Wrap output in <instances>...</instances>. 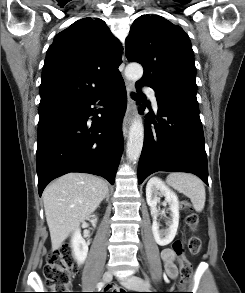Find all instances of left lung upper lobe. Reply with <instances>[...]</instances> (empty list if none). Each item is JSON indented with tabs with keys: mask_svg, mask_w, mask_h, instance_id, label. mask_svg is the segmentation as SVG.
Wrapping results in <instances>:
<instances>
[{
	"mask_svg": "<svg viewBox=\"0 0 245 293\" xmlns=\"http://www.w3.org/2000/svg\"><path fill=\"white\" fill-rule=\"evenodd\" d=\"M126 57L143 66L139 82L153 88L159 98L198 107L194 53L180 26L160 16L142 15L126 39Z\"/></svg>",
	"mask_w": 245,
	"mask_h": 293,
	"instance_id": "left-lung-upper-lobe-1",
	"label": "left lung upper lobe"
}]
</instances>
